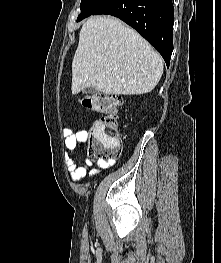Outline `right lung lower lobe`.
Segmentation results:
<instances>
[{
    "label": "right lung lower lobe",
    "mask_w": 221,
    "mask_h": 263,
    "mask_svg": "<svg viewBox=\"0 0 221 263\" xmlns=\"http://www.w3.org/2000/svg\"><path fill=\"white\" fill-rule=\"evenodd\" d=\"M97 14L113 15L136 29L169 66L173 51L172 0H107L92 15Z\"/></svg>",
    "instance_id": "right-lung-lower-lobe-1"
}]
</instances>
